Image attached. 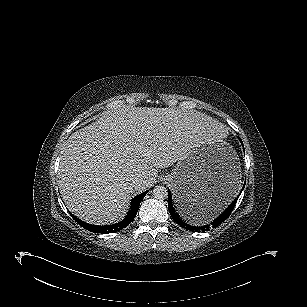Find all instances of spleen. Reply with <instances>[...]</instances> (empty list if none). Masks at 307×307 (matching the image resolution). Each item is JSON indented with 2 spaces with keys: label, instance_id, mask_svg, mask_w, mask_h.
I'll return each instance as SVG.
<instances>
[{
  "label": "spleen",
  "instance_id": "1",
  "mask_svg": "<svg viewBox=\"0 0 307 307\" xmlns=\"http://www.w3.org/2000/svg\"><path fill=\"white\" fill-rule=\"evenodd\" d=\"M224 207H210L207 210H202L196 214L192 219H188L193 224H202L206 221L213 219L220 213Z\"/></svg>",
  "mask_w": 307,
  "mask_h": 307
}]
</instances>
